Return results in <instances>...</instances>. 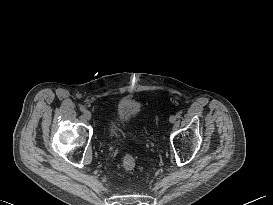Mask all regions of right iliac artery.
Instances as JSON below:
<instances>
[{"label":"right iliac artery","mask_w":273,"mask_h":205,"mask_svg":"<svg viewBox=\"0 0 273 205\" xmlns=\"http://www.w3.org/2000/svg\"><path fill=\"white\" fill-rule=\"evenodd\" d=\"M79 108H80V111H81V112H84V111H85V107H84L83 105H81Z\"/></svg>","instance_id":"obj_1"}]
</instances>
